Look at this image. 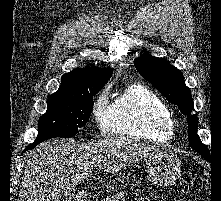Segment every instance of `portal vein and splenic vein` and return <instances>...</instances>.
<instances>
[{"mask_svg": "<svg viewBox=\"0 0 221 201\" xmlns=\"http://www.w3.org/2000/svg\"><path fill=\"white\" fill-rule=\"evenodd\" d=\"M97 168H101V166H98ZM124 194H125V193L119 194V195L116 197V200H115V201H117V199H119V198H122V197L124 196Z\"/></svg>", "mask_w": 221, "mask_h": 201, "instance_id": "1", "label": "portal vein and splenic vein"}]
</instances>
